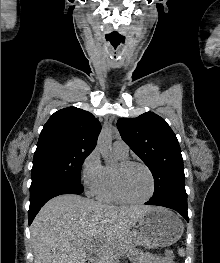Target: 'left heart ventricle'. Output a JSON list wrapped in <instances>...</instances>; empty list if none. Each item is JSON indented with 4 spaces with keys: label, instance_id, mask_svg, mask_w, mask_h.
Returning <instances> with one entry per match:
<instances>
[{
    "label": "left heart ventricle",
    "instance_id": "b2bd125f",
    "mask_svg": "<svg viewBox=\"0 0 220 263\" xmlns=\"http://www.w3.org/2000/svg\"><path fill=\"white\" fill-rule=\"evenodd\" d=\"M120 183L124 195L132 200L145 198L151 189L148 173L140 166H130L120 173Z\"/></svg>",
    "mask_w": 220,
    "mask_h": 263
}]
</instances>
